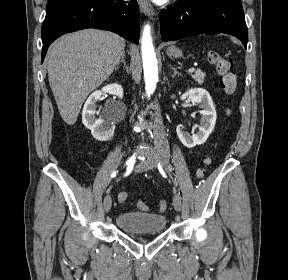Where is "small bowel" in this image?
Segmentation results:
<instances>
[{
	"label": "small bowel",
	"mask_w": 288,
	"mask_h": 280,
	"mask_svg": "<svg viewBox=\"0 0 288 280\" xmlns=\"http://www.w3.org/2000/svg\"><path fill=\"white\" fill-rule=\"evenodd\" d=\"M124 188H125V184L124 185H122V187H121V192L119 193V195H118V197L122 194V193H125L123 190H124Z\"/></svg>",
	"instance_id": "c3829d8e"
}]
</instances>
